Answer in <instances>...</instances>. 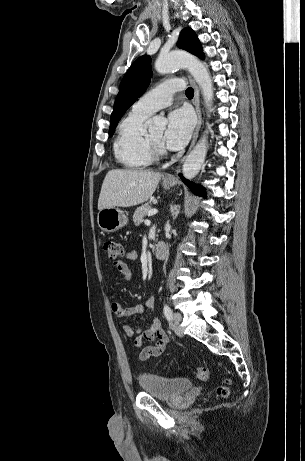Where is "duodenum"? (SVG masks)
Returning <instances> with one entry per match:
<instances>
[{
	"label": "duodenum",
	"mask_w": 305,
	"mask_h": 461,
	"mask_svg": "<svg viewBox=\"0 0 305 461\" xmlns=\"http://www.w3.org/2000/svg\"><path fill=\"white\" fill-rule=\"evenodd\" d=\"M167 256V245L164 242H159L154 250H153V257L156 261L161 262Z\"/></svg>",
	"instance_id": "duodenum-1"
}]
</instances>
